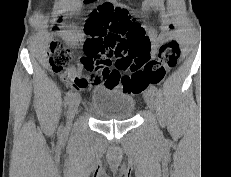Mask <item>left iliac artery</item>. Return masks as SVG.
<instances>
[{"label": "left iliac artery", "instance_id": "left-iliac-artery-1", "mask_svg": "<svg viewBox=\"0 0 231 177\" xmlns=\"http://www.w3.org/2000/svg\"><path fill=\"white\" fill-rule=\"evenodd\" d=\"M150 91H152L154 95H157L158 92H159L158 89H157V87H155V86H153V85L150 86Z\"/></svg>", "mask_w": 231, "mask_h": 177}]
</instances>
